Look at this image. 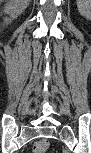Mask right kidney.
Returning <instances> with one entry per match:
<instances>
[{"label":"right kidney","mask_w":91,"mask_h":153,"mask_svg":"<svg viewBox=\"0 0 91 153\" xmlns=\"http://www.w3.org/2000/svg\"><path fill=\"white\" fill-rule=\"evenodd\" d=\"M27 5H23L20 0H10L4 7V14L9 15V17L3 18V26L11 23V21L20 15Z\"/></svg>","instance_id":"ca27d5eb"}]
</instances>
